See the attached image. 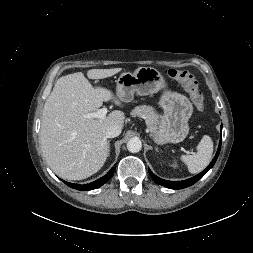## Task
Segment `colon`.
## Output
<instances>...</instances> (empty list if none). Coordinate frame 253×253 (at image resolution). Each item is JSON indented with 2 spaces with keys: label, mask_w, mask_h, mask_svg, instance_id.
<instances>
[{
  "label": "colon",
  "mask_w": 253,
  "mask_h": 253,
  "mask_svg": "<svg viewBox=\"0 0 253 253\" xmlns=\"http://www.w3.org/2000/svg\"><path fill=\"white\" fill-rule=\"evenodd\" d=\"M164 73L174 81L179 82L189 94L190 100L197 111L204 108V98L196 77L187 70L168 68Z\"/></svg>",
  "instance_id": "obj_1"
}]
</instances>
